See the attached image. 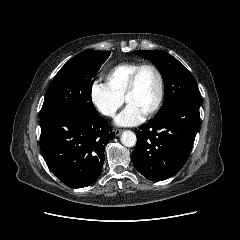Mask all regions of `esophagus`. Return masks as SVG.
Wrapping results in <instances>:
<instances>
[{
	"label": "esophagus",
	"instance_id": "obj_1",
	"mask_svg": "<svg viewBox=\"0 0 240 240\" xmlns=\"http://www.w3.org/2000/svg\"><path fill=\"white\" fill-rule=\"evenodd\" d=\"M114 132H115L116 136H119L123 132V130L122 129H116Z\"/></svg>",
	"mask_w": 240,
	"mask_h": 240
}]
</instances>
